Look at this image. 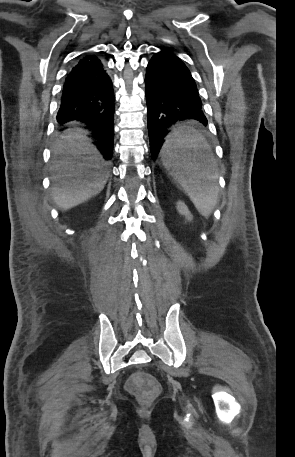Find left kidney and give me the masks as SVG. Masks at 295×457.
Listing matches in <instances>:
<instances>
[{
  "instance_id": "5707ae66",
  "label": "left kidney",
  "mask_w": 295,
  "mask_h": 457,
  "mask_svg": "<svg viewBox=\"0 0 295 457\" xmlns=\"http://www.w3.org/2000/svg\"><path fill=\"white\" fill-rule=\"evenodd\" d=\"M177 210L181 215H184L188 221L193 219L188 207L181 201L177 203Z\"/></svg>"
}]
</instances>
